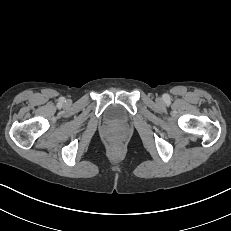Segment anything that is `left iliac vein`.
<instances>
[{"instance_id": "1", "label": "left iliac vein", "mask_w": 231, "mask_h": 231, "mask_svg": "<svg viewBox=\"0 0 231 231\" xmlns=\"http://www.w3.org/2000/svg\"><path fill=\"white\" fill-rule=\"evenodd\" d=\"M157 102L162 103L163 102L162 98H157Z\"/></svg>"}]
</instances>
